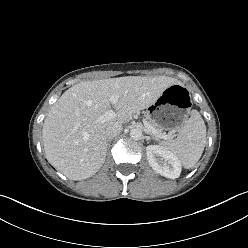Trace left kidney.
<instances>
[{
  "instance_id": "5707ae66",
  "label": "left kidney",
  "mask_w": 248,
  "mask_h": 248,
  "mask_svg": "<svg viewBox=\"0 0 248 248\" xmlns=\"http://www.w3.org/2000/svg\"><path fill=\"white\" fill-rule=\"evenodd\" d=\"M147 160L152 169L170 179H176L181 173V164L178 158L160 145L146 147Z\"/></svg>"
}]
</instances>
